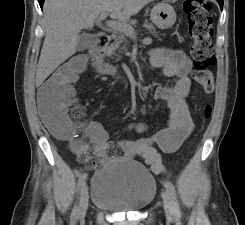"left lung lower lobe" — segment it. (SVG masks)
<instances>
[{
    "instance_id": "obj_1",
    "label": "left lung lower lobe",
    "mask_w": 245,
    "mask_h": 225,
    "mask_svg": "<svg viewBox=\"0 0 245 225\" xmlns=\"http://www.w3.org/2000/svg\"><path fill=\"white\" fill-rule=\"evenodd\" d=\"M217 2L219 3V5H220V7L222 9L223 8V2H224V0H217Z\"/></svg>"
}]
</instances>
